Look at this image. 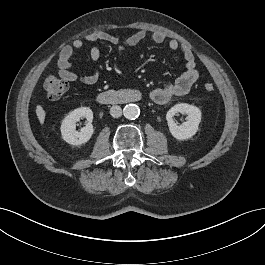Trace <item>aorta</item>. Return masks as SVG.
<instances>
[{
  "label": "aorta",
  "mask_w": 265,
  "mask_h": 265,
  "mask_svg": "<svg viewBox=\"0 0 265 265\" xmlns=\"http://www.w3.org/2000/svg\"><path fill=\"white\" fill-rule=\"evenodd\" d=\"M140 114V109L136 104H127L123 109V115L125 118L133 120Z\"/></svg>",
  "instance_id": "aorta-1"
}]
</instances>
